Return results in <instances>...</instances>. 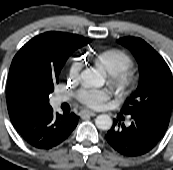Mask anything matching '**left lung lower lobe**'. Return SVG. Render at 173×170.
Segmentation results:
<instances>
[{"label":"left lung lower lobe","instance_id":"1","mask_svg":"<svg viewBox=\"0 0 173 170\" xmlns=\"http://www.w3.org/2000/svg\"><path fill=\"white\" fill-rule=\"evenodd\" d=\"M130 126L114 120L106 134L109 145L124 156L135 157L152 150L164 136L168 126L146 116L129 115Z\"/></svg>","mask_w":173,"mask_h":170}]
</instances>
